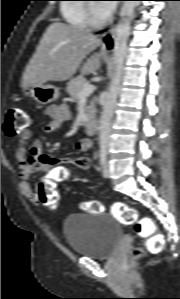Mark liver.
<instances>
[{"label":"liver","mask_w":180,"mask_h":299,"mask_svg":"<svg viewBox=\"0 0 180 299\" xmlns=\"http://www.w3.org/2000/svg\"><path fill=\"white\" fill-rule=\"evenodd\" d=\"M101 44L91 32L54 22L46 29L22 76L21 87L47 81H65L78 69L82 75L94 74L101 67L104 53L85 57Z\"/></svg>","instance_id":"1"}]
</instances>
